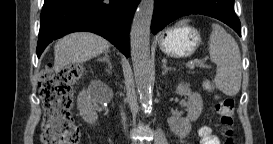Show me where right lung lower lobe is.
Listing matches in <instances>:
<instances>
[{
	"label": "right lung lower lobe",
	"mask_w": 273,
	"mask_h": 144,
	"mask_svg": "<svg viewBox=\"0 0 273 144\" xmlns=\"http://www.w3.org/2000/svg\"><path fill=\"white\" fill-rule=\"evenodd\" d=\"M140 0H45L40 16L37 56L53 40L77 31L108 39L129 57V30Z\"/></svg>",
	"instance_id": "1"
}]
</instances>
